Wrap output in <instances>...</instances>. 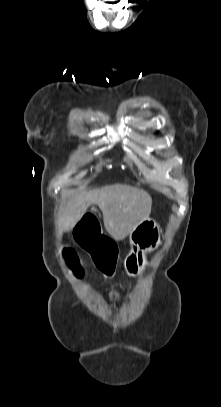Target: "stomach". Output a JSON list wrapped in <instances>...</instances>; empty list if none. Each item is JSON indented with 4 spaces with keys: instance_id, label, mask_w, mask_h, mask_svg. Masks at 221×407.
Instances as JSON below:
<instances>
[{
    "instance_id": "1",
    "label": "stomach",
    "mask_w": 221,
    "mask_h": 407,
    "mask_svg": "<svg viewBox=\"0 0 221 407\" xmlns=\"http://www.w3.org/2000/svg\"><path fill=\"white\" fill-rule=\"evenodd\" d=\"M161 230L150 218L140 222L129 234L131 251L126 256L124 265L129 274H136L146 264V253L160 245Z\"/></svg>"
}]
</instances>
